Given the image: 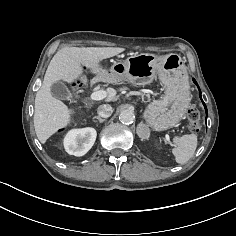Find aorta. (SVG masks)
<instances>
[{
	"label": "aorta",
	"mask_w": 236,
	"mask_h": 236,
	"mask_svg": "<svg viewBox=\"0 0 236 236\" xmlns=\"http://www.w3.org/2000/svg\"><path fill=\"white\" fill-rule=\"evenodd\" d=\"M134 119H135V115L132 110L126 109V110L121 111V113L119 114V120L123 124H131L133 123Z\"/></svg>",
	"instance_id": "1"
}]
</instances>
